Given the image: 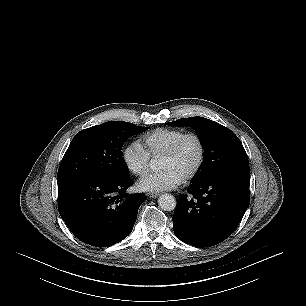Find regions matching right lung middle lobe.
I'll return each mask as SVG.
<instances>
[{"instance_id":"right-lung-middle-lobe-1","label":"right lung middle lobe","mask_w":306,"mask_h":306,"mask_svg":"<svg viewBox=\"0 0 306 306\" xmlns=\"http://www.w3.org/2000/svg\"><path fill=\"white\" fill-rule=\"evenodd\" d=\"M148 128L110 121L78 132L59 167L58 187L86 176L128 177L121 148L127 138Z\"/></svg>"}]
</instances>
